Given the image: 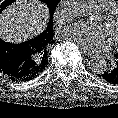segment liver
Listing matches in <instances>:
<instances>
[{
    "mask_svg": "<svg viewBox=\"0 0 118 118\" xmlns=\"http://www.w3.org/2000/svg\"><path fill=\"white\" fill-rule=\"evenodd\" d=\"M48 21V9L38 0H18L0 15V38L20 43L40 34Z\"/></svg>",
    "mask_w": 118,
    "mask_h": 118,
    "instance_id": "liver-1",
    "label": "liver"
}]
</instances>
